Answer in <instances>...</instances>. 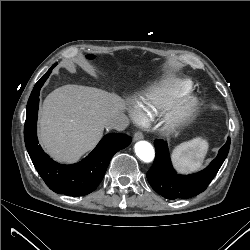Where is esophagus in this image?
<instances>
[{
  "mask_svg": "<svg viewBox=\"0 0 250 250\" xmlns=\"http://www.w3.org/2000/svg\"><path fill=\"white\" fill-rule=\"evenodd\" d=\"M143 137H144L143 133L140 131H137L134 133L133 139H134V141H138V140L143 139Z\"/></svg>",
  "mask_w": 250,
  "mask_h": 250,
  "instance_id": "obj_1",
  "label": "esophagus"
}]
</instances>
